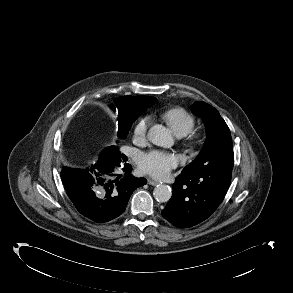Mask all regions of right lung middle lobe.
<instances>
[{
    "mask_svg": "<svg viewBox=\"0 0 293 293\" xmlns=\"http://www.w3.org/2000/svg\"><path fill=\"white\" fill-rule=\"evenodd\" d=\"M138 116L139 115L127 117V118L119 121V123H118V126H119L118 137L119 138L123 139L127 135V132L129 130L131 124ZM109 148L113 151L114 155H116V154L119 155L118 149L116 147L112 146Z\"/></svg>",
    "mask_w": 293,
    "mask_h": 293,
    "instance_id": "dd1d6c3e",
    "label": "right lung middle lobe"
}]
</instances>
